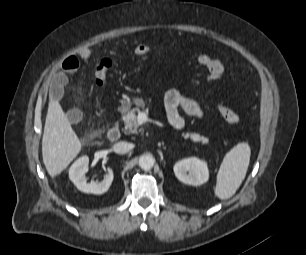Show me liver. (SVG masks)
Returning a JSON list of instances; mask_svg holds the SVG:
<instances>
[{
    "label": "liver",
    "instance_id": "1",
    "mask_svg": "<svg viewBox=\"0 0 306 255\" xmlns=\"http://www.w3.org/2000/svg\"><path fill=\"white\" fill-rule=\"evenodd\" d=\"M82 144L57 100H50L42 138V156L51 177L59 175L81 151Z\"/></svg>",
    "mask_w": 306,
    "mask_h": 255
}]
</instances>
